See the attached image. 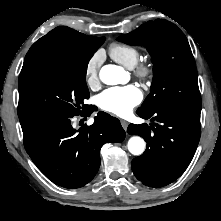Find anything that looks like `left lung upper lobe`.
Segmentation results:
<instances>
[{
	"label": "left lung upper lobe",
	"mask_w": 221,
	"mask_h": 221,
	"mask_svg": "<svg viewBox=\"0 0 221 221\" xmlns=\"http://www.w3.org/2000/svg\"><path fill=\"white\" fill-rule=\"evenodd\" d=\"M117 40L144 46L152 57L153 81L140 110L157 104L201 110L195 61L187 38L175 24L149 21Z\"/></svg>",
	"instance_id": "obj_1"
}]
</instances>
